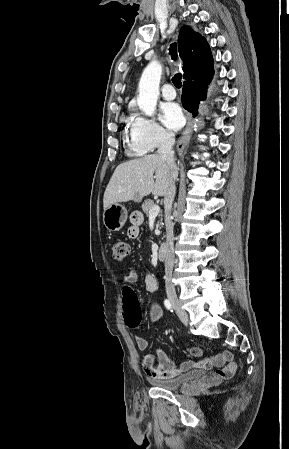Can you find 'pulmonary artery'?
Wrapping results in <instances>:
<instances>
[{"label":"pulmonary artery","mask_w":289,"mask_h":449,"mask_svg":"<svg viewBox=\"0 0 289 449\" xmlns=\"http://www.w3.org/2000/svg\"><path fill=\"white\" fill-rule=\"evenodd\" d=\"M161 94L166 100H172L176 97V91L171 84H164L161 88Z\"/></svg>","instance_id":"1"}]
</instances>
